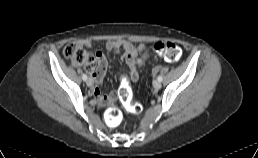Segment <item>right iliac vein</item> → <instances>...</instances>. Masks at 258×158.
I'll return each instance as SVG.
<instances>
[{
  "label": "right iliac vein",
  "instance_id": "63e3f726",
  "mask_svg": "<svg viewBox=\"0 0 258 158\" xmlns=\"http://www.w3.org/2000/svg\"><path fill=\"white\" fill-rule=\"evenodd\" d=\"M86 84H87V86H89V87L92 86V85H93L92 79H91V78L87 79Z\"/></svg>",
  "mask_w": 258,
  "mask_h": 158
}]
</instances>
